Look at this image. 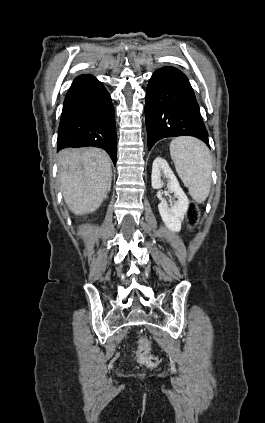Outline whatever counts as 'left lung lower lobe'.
<instances>
[{"instance_id":"obj_1","label":"left lung lower lobe","mask_w":265,"mask_h":423,"mask_svg":"<svg viewBox=\"0 0 265 423\" xmlns=\"http://www.w3.org/2000/svg\"><path fill=\"white\" fill-rule=\"evenodd\" d=\"M148 148L160 139L194 136L209 146L208 133L188 78L174 67L152 75L146 91Z\"/></svg>"}]
</instances>
